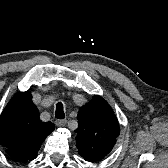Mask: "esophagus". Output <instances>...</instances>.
<instances>
[{"label":"esophagus","mask_w":168,"mask_h":168,"mask_svg":"<svg viewBox=\"0 0 168 168\" xmlns=\"http://www.w3.org/2000/svg\"><path fill=\"white\" fill-rule=\"evenodd\" d=\"M67 123L66 119L56 120L55 124L59 127L65 126Z\"/></svg>","instance_id":"esophagus-1"}]
</instances>
